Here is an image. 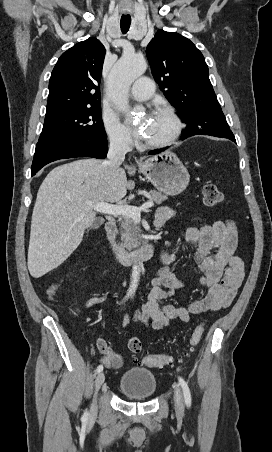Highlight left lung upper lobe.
<instances>
[{"label": "left lung upper lobe", "mask_w": 272, "mask_h": 452, "mask_svg": "<svg viewBox=\"0 0 272 452\" xmlns=\"http://www.w3.org/2000/svg\"><path fill=\"white\" fill-rule=\"evenodd\" d=\"M146 55L164 95L187 123L186 130L213 136L232 134L209 80L204 56L189 39L158 30Z\"/></svg>", "instance_id": "obj_1"}]
</instances>
